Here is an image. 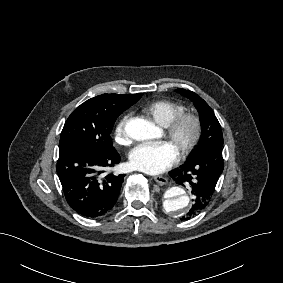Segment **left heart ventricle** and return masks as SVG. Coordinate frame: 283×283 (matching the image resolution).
<instances>
[{
  "label": "left heart ventricle",
  "mask_w": 283,
  "mask_h": 283,
  "mask_svg": "<svg viewBox=\"0 0 283 283\" xmlns=\"http://www.w3.org/2000/svg\"><path fill=\"white\" fill-rule=\"evenodd\" d=\"M192 133V128L189 124H186L181 129L180 133L175 139H170L171 144L174 146V148L180 153V149L184 143L187 142V140L190 138Z\"/></svg>",
  "instance_id": "1"
}]
</instances>
